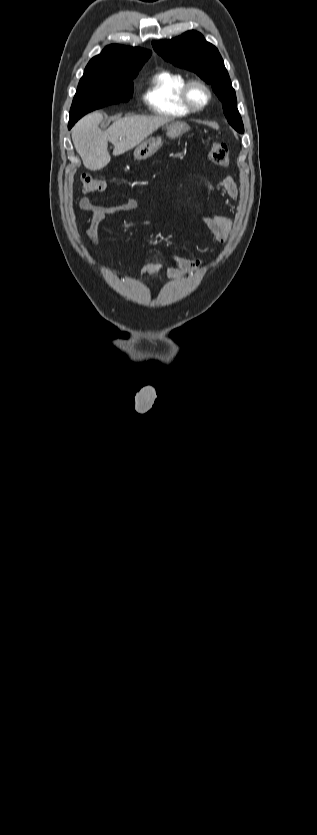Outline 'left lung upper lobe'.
<instances>
[{"label": "left lung upper lobe", "mask_w": 317, "mask_h": 835, "mask_svg": "<svg viewBox=\"0 0 317 835\" xmlns=\"http://www.w3.org/2000/svg\"><path fill=\"white\" fill-rule=\"evenodd\" d=\"M154 50L175 66L188 69L212 85L222 101L229 124L239 133L244 126L236 106V94L218 49L197 31H188L171 40L153 41Z\"/></svg>", "instance_id": "1"}]
</instances>
